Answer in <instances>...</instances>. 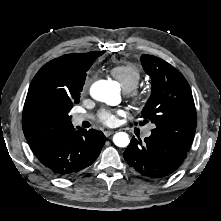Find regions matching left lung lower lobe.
<instances>
[{
	"label": "left lung lower lobe",
	"instance_id": "0a47b994",
	"mask_svg": "<svg viewBox=\"0 0 221 221\" xmlns=\"http://www.w3.org/2000/svg\"><path fill=\"white\" fill-rule=\"evenodd\" d=\"M128 165L150 179H161L175 172L183 163L187 152L160 136L144 139L132 138L123 153Z\"/></svg>",
	"mask_w": 221,
	"mask_h": 221
}]
</instances>
